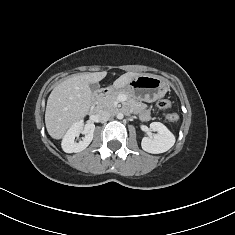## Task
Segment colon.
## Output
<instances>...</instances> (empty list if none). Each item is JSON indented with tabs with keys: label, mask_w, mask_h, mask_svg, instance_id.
<instances>
[{
	"label": "colon",
	"mask_w": 235,
	"mask_h": 235,
	"mask_svg": "<svg viewBox=\"0 0 235 235\" xmlns=\"http://www.w3.org/2000/svg\"><path fill=\"white\" fill-rule=\"evenodd\" d=\"M157 107H158L159 110H161L162 112L167 114V118H168L169 121L174 123L178 120V116L176 114L170 113L172 104L169 100H167V99L160 100L157 103Z\"/></svg>",
	"instance_id": "colon-1"
}]
</instances>
